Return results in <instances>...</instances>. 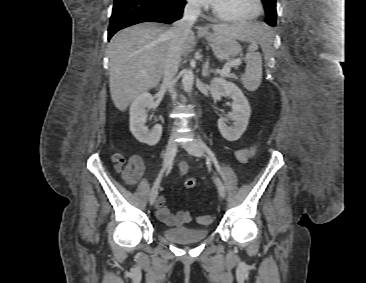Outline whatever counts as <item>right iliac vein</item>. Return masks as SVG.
<instances>
[{
  "label": "right iliac vein",
  "instance_id": "63e3f726",
  "mask_svg": "<svg viewBox=\"0 0 366 283\" xmlns=\"http://www.w3.org/2000/svg\"><path fill=\"white\" fill-rule=\"evenodd\" d=\"M177 149V144L174 138H171L166 146L165 154H164V160H163V168L161 170V173L159 175V178L156 180L152 190L149 194V202L150 205H153L156 201L157 195H158V187L160 182V177L162 172L165 170V168L170 164L172 161Z\"/></svg>",
  "mask_w": 366,
  "mask_h": 283
}]
</instances>
